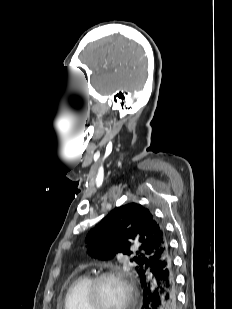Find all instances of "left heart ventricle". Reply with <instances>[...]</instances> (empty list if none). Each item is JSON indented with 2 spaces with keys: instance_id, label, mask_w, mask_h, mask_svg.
I'll return each instance as SVG.
<instances>
[{
  "instance_id": "b2bd125f",
  "label": "left heart ventricle",
  "mask_w": 232,
  "mask_h": 309,
  "mask_svg": "<svg viewBox=\"0 0 232 309\" xmlns=\"http://www.w3.org/2000/svg\"><path fill=\"white\" fill-rule=\"evenodd\" d=\"M100 309H122L126 301L125 287L117 280L103 281L98 290Z\"/></svg>"
}]
</instances>
